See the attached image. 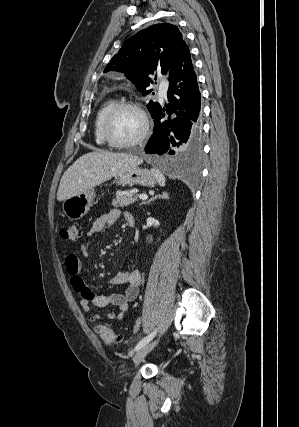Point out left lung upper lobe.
I'll return each mask as SVG.
<instances>
[{
  "instance_id": "obj_1",
  "label": "left lung upper lobe",
  "mask_w": 299,
  "mask_h": 427,
  "mask_svg": "<svg viewBox=\"0 0 299 427\" xmlns=\"http://www.w3.org/2000/svg\"><path fill=\"white\" fill-rule=\"evenodd\" d=\"M182 41L177 26L168 23L152 25L125 41L104 73L111 70L125 73L145 96L152 91L148 87L154 84L150 76L155 71L168 74ZM158 104L151 100L147 107L152 113Z\"/></svg>"
}]
</instances>
